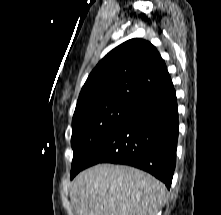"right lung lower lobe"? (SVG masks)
<instances>
[{
    "label": "right lung lower lobe",
    "instance_id": "obj_1",
    "mask_svg": "<svg viewBox=\"0 0 221 215\" xmlns=\"http://www.w3.org/2000/svg\"><path fill=\"white\" fill-rule=\"evenodd\" d=\"M177 139L178 105L171 83L134 104L95 149L85 168L98 163L130 165L149 172L170 189Z\"/></svg>",
    "mask_w": 221,
    "mask_h": 215
}]
</instances>
